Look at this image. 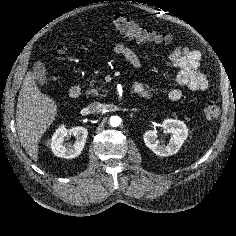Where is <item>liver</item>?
I'll return each mask as SVG.
<instances>
[{
    "mask_svg": "<svg viewBox=\"0 0 236 236\" xmlns=\"http://www.w3.org/2000/svg\"><path fill=\"white\" fill-rule=\"evenodd\" d=\"M56 116L55 101L39 91L34 75L28 71L18 96L16 124L20 143L35 162L38 143Z\"/></svg>",
    "mask_w": 236,
    "mask_h": 236,
    "instance_id": "1",
    "label": "liver"
}]
</instances>
